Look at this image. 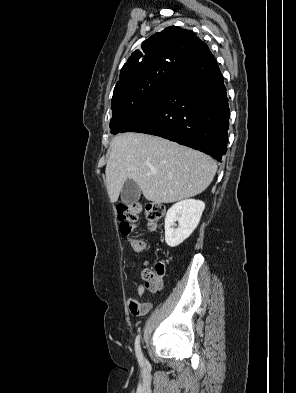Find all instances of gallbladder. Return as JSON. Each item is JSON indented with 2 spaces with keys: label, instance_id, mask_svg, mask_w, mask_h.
I'll list each match as a JSON object with an SVG mask.
<instances>
[{
  "label": "gallbladder",
  "instance_id": "obj_1",
  "mask_svg": "<svg viewBox=\"0 0 296 393\" xmlns=\"http://www.w3.org/2000/svg\"><path fill=\"white\" fill-rule=\"evenodd\" d=\"M141 190L137 183L131 179L125 181L121 190V200L124 204L130 205L140 198Z\"/></svg>",
  "mask_w": 296,
  "mask_h": 393
}]
</instances>
